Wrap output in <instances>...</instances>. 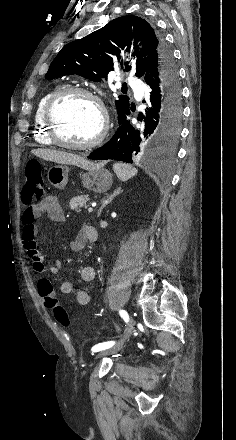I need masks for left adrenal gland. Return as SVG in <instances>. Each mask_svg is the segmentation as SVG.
<instances>
[{"instance_id":"a2214340","label":"left adrenal gland","mask_w":236,"mask_h":440,"mask_svg":"<svg viewBox=\"0 0 236 440\" xmlns=\"http://www.w3.org/2000/svg\"><path fill=\"white\" fill-rule=\"evenodd\" d=\"M121 192H122V189L120 187H118L117 189H115L113 191V193L110 196H108L106 199H103L102 206L100 207V209L98 210V213H97L98 217L101 215V212L104 209V207H106L109 203H111V201L114 199V197L119 195Z\"/></svg>"}]
</instances>
